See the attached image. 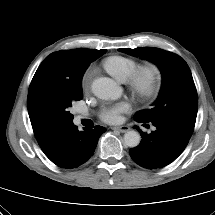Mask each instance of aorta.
I'll return each instance as SVG.
<instances>
[{
    "mask_svg": "<svg viewBox=\"0 0 215 215\" xmlns=\"http://www.w3.org/2000/svg\"><path fill=\"white\" fill-rule=\"evenodd\" d=\"M93 94L104 100L108 99H118L122 94V89L117 85V83L108 77H100L93 81L92 83ZM141 136L137 131L131 130L124 134V143L128 147H136L139 145Z\"/></svg>",
    "mask_w": 215,
    "mask_h": 215,
    "instance_id": "762f6f07",
    "label": "aorta"
}]
</instances>
